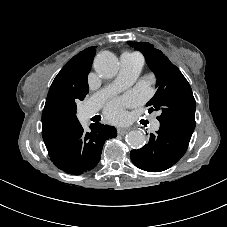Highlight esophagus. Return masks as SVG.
Instances as JSON below:
<instances>
[{"label": "esophagus", "mask_w": 227, "mask_h": 227, "mask_svg": "<svg viewBox=\"0 0 227 227\" xmlns=\"http://www.w3.org/2000/svg\"><path fill=\"white\" fill-rule=\"evenodd\" d=\"M128 132V129L127 128H118L117 129V133L119 134V135H124V134H126Z\"/></svg>", "instance_id": "34e87169"}]
</instances>
